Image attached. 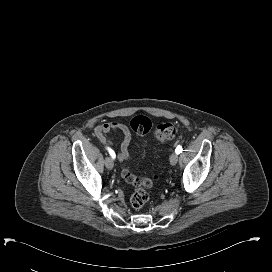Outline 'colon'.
<instances>
[{
    "instance_id": "5ec220e1",
    "label": "colon",
    "mask_w": 272,
    "mask_h": 272,
    "mask_svg": "<svg viewBox=\"0 0 272 272\" xmlns=\"http://www.w3.org/2000/svg\"><path fill=\"white\" fill-rule=\"evenodd\" d=\"M130 127L138 135H145L152 129V121L146 116H136L130 122ZM178 127L173 122H162L155 126L154 137L159 141L171 140L175 137ZM125 180L137 186L130 198L134 209H143L149 201V194L144 188H150L156 181V176H135L128 168L122 170Z\"/></svg>"
}]
</instances>
